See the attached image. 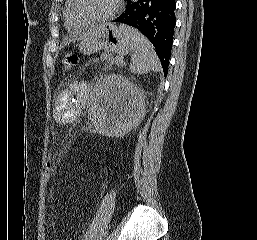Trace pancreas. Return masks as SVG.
Wrapping results in <instances>:
<instances>
[{
  "mask_svg": "<svg viewBox=\"0 0 257 240\" xmlns=\"http://www.w3.org/2000/svg\"><path fill=\"white\" fill-rule=\"evenodd\" d=\"M117 58L119 57L114 58L109 52H104L101 56V60L105 61L108 65L118 64Z\"/></svg>",
  "mask_w": 257,
  "mask_h": 240,
  "instance_id": "obj_1",
  "label": "pancreas"
}]
</instances>
